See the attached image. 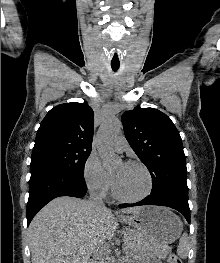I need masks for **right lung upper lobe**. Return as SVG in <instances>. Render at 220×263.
<instances>
[{
  "mask_svg": "<svg viewBox=\"0 0 220 263\" xmlns=\"http://www.w3.org/2000/svg\"><path fill=\"white\" fill-rule=\"evenodd\" d=\"M93 110L84 103H64L52 108L37 131L33 152L49 148H92Z\"/></svg>",
  "mask_w": 220,
  "mask_h": 263,
  "instance_id": "obj_1",
  "label": "right lung upper lobe"
}]
</instances>
